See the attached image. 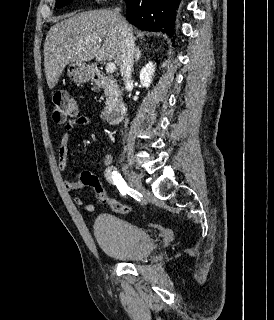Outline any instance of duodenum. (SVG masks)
I'll return each mask as SVG.
<instances>
[{
  "instance_id": "410a0bca",
  "label": "duodenum",
  "mask_w": 274,
  "mask_h": 320,
  "mask_svg": "<svg viewBox=\"0 0 274 320\" xmlns=\"http://www.w3.org/2000/svg\"><path fill=\"white\" fill-rule=\"evenodd\" d=\"M93 79L100 85L103 86L106 83H109V79L102 74L101 72H95L93 74ZM114 82H119V80L115 79ZM126 112V104L122 101L117 102L113 106L107 108L104 113V121L109 124H115L120 122Z\"/></svg>"
}]
</instances>
